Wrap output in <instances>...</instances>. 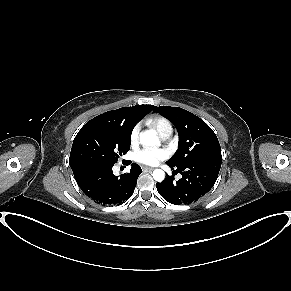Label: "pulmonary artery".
Instances as JSON below:
<instances>
[{
	"mask_svg": "<svg viewBox=\"0 0 291 291\" xmlns=\"http://www.w3.org/2000/svg\"><path fill=\"white\" fill-rule=\"evenodd\" d=\"M171 135H172V128H167L160 134L163 140H168L171 137Z\"/></svg>",
	"mask_w": 291,
	"mask_h": 291,
	"instance_id": "1",
	"label": "pulmonary artery"
}]
</instances>
